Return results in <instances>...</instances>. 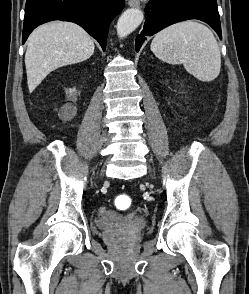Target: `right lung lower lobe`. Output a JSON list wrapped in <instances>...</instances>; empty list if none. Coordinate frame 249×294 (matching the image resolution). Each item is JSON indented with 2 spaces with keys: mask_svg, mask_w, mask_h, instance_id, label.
<instances>
[{
  "mask_svg": "<svg viewBox=\"0 0 249 294\" xmlns=\"http://www.w3.org/2000/svg\"><path fill=\"white\" fill-rule=\"evenodd\" d=\"M124 6L123 0H27L22 43L37 26L62 20L83 27L105 51L109 24Z\"/></svg>",
  "mask_w": 249,
  "mask_h": 294,
  "instance_id": "98d812e1",
  "label": "right lung lower lobe"
}]
</instances>
